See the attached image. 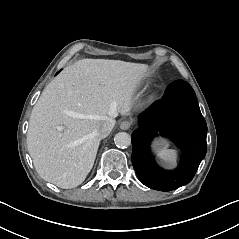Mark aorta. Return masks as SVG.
<instances>
[{
  "instance_id": "aorta-1",
  "label": "aorta",
  "mask_w": 239,
  "mask_h": 239,
  "mask_svg": "<svg viewBox=\"0 0 239 239\" xmlns=\"http://www.w3.org/2000/svg\"><path fill=\"white\" fill-rule=\"evenodd\" d=\"M114 141L116 146L120 148H127L131 145V137L126 132H119L115 135Z\"/></svg>"
}]
</instances>
